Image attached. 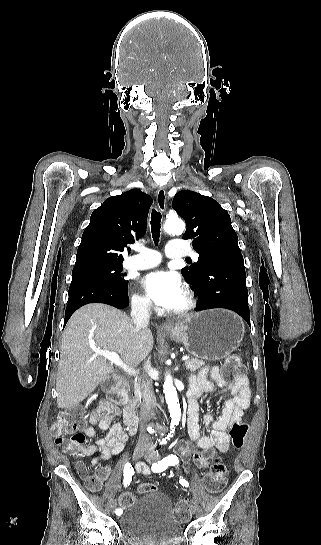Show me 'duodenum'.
<instances>
[{
    "label": "duodenum",
    "mask_w": 321,
    "mask_h": 545,
    "mask_svg": "<svg viewBox=\"0 0 321 545\" xmlns=\"http://www.w3.org/2000/svg\"><path fill=\"white\" fill-rule=\"evenodd\" d=\"M104 390L107 393L108 400L112 403L124 405V424L130 435H134L137 431L139 418L136 412L126 405L124 395V380L122 378H110L103 384Z\"/></svg>",
    "instance_id": "410a0bca"
}]
</instances>
